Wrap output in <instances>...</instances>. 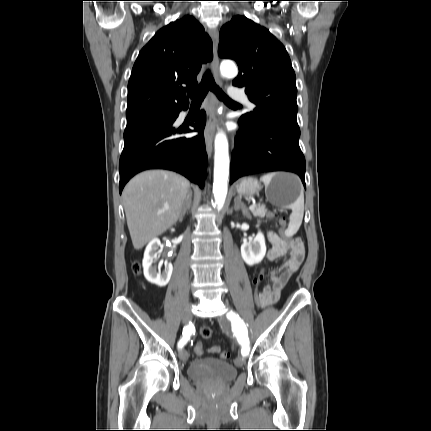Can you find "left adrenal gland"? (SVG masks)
I'll return each instance as SVG.
<instances>
[{
	"label": "left adrenal gland",
	"instance_id": "1",
	"mask_svg": "<svg viewBox=\"0 0 431 431\" xmlns=\"http://www.w3.org/2000/svg\"><path fill=\"white\" fill-rule=\"evenodd\" d=\"M233 209L235 211L242 210V213H243L244 216H246L248 219L251 218V215H250L247 207L241 201V198L237 197V198L234 199V207H233Z\"/></svg>",
	"mask_w": 431,
	"mask_h": 431
}]
</instances>
